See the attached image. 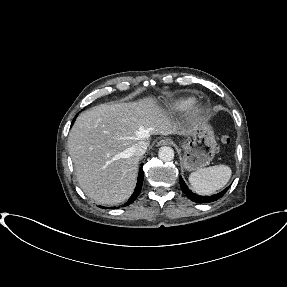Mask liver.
<instances>
[{
	"mask_svg": "<svg viewBox=\"0 0 287 287\" xmlns=\"http://www.w3.org/2000/svg\"><path fill=\"white\" fill-rule=\"evenodd\" d=\"M178 131L153 96L136 102L104 103L83 112L68 137V150L79 186L99 204L117 205L132 194L140 157L132 147L147 145L151 135L189 134Z\"/></svg>",
	"mask_w": 287,
	"mask_h": 287,
	"instance_id": "1",
	"label": "liver"
}]
</instances>
